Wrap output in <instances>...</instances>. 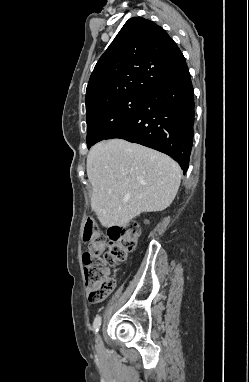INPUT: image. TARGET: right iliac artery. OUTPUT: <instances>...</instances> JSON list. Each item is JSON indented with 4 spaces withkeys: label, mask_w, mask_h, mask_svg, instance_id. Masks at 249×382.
Returning <instances> with one entry per match:
<instances>
[{
    "label": "right iliac artery",
    "mask_w": 249,
    "mask_h": 382,
    "mask_svg": "<svg viewBox=\"0 0 249 382\" xmlns=\"http://www.w3.org/2000/svg\"><path fill=\"white\" fill-rule=\"evenodd\" d=\"M100 326H101V317L97 316L93 322V327H94L95 332H98Z\"/></svg>",
    "instance_id": "1"
}]
</instances>
